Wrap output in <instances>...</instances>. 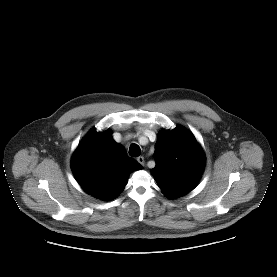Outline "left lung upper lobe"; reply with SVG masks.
Here are the masks:
<instances>
[{"mask_svg": "<svg viewBox=\"0 0 277 277\" xmlns=\"http://www.w3.org/2000/svg\"><path fill=\"white\" fill-rule=\"evenodd\" d=\"M154 158L156 166L151 172L159 188L171 199L191 191L205 165L200 145L182 126L159 134Z\"/></svg>", "mask_w": 277, "mask_h": 277, "instance_id": "5c2ea615", "label": "left lung upper lobe"}]
</instances>
